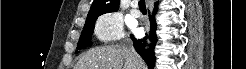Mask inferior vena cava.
Masks as SVG:
<instances>
[{"instance_id": "inferior-vena-cava-1", "label": "inferior vena cava", "mask_w": 246, "mask_h": 69, "mask_svg": "<svg viewBox=\"0 0 246 69\" xmlns=\"http://www.w3.org/2000/svg\"><path fill=\"white\" fill-rule=\"evenodd\" d=\"M123 46L126 47V48H128L129 50H131V52H132V59H133L134 64H135L134 69H139L138 62H137V60L139 58V55L134 51V48H133L131 42L125 41V43H124Z\"/></svg>"}]
</instances>
